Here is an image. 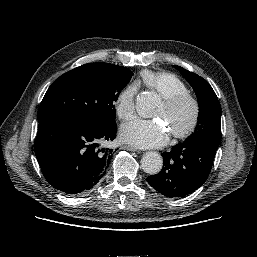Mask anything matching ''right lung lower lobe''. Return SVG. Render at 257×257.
<instances>
[{
	"label": "right lung lower lobe",
	"instance_id": "1",
	"mask_svg": "<svg viewBox=\"0 0 257 257\" xmlns=\"http://www.w3.org/2000/svg\"><path fill=\"white\" fill-rule=\"evenodd\" d=\"M114 124L61 115L39 121L35 154L50 185L66 194H78L95 186L111 160V149L102 143L116 135Z\"/></svg>",
	"mask_w": 257,
	"mask_h": 257
}]
</instances>
